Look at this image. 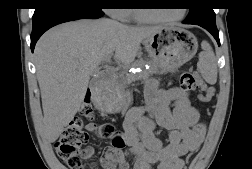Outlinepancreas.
Segmentation results:
<instances>
[{
    "mask_svg": "<svg viewBox=\"0 0 252 169\" xmlns=\"http://www.w3.org/2000/svg\"><path fill=\"white\" fill-rule=\"evenodd\" d=\"M141 64H143V62H141ZM152 72H153V69L146 70L144 67H142V70L140 73L127 75V81L132 82L138 79L147 80L149 79V76Z\"/></svg>",
    "mask_w": 252,
    "mask_h": 169,
    "instance_id": "pancreas-1",
    "label": "pancreas"
}]
</instances>
